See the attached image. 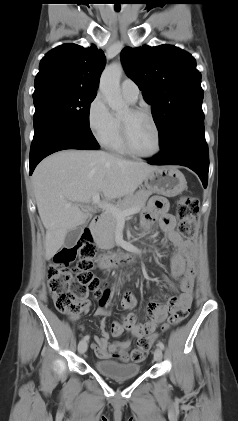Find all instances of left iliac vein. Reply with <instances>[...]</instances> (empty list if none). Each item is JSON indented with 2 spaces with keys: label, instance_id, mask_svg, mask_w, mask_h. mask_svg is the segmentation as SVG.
<instances>
[{
  "label": "left iliac vein",
  "instance_id": "obj_1",
  "mask_svg": "<svg viewBox=\"0 0 238 421\" xmlns=\"http://www.w3.org/2000/svg\"><path fill=\"white\" fill-rule=\"evenodd\" d=\"M163 357V353L160 347H157L154 351V359L156 361H161Z\"/></svg>",
  "mask_w": 238,
  "mask_h": 421
}]
</instances>
